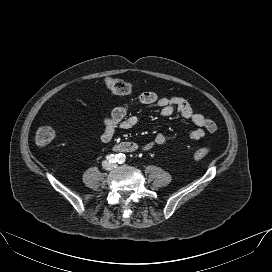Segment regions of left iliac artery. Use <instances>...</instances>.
<instances>
[{"mask_svg":"<svg viewBox=\"0 0 272 272\" xmlns=\"http://www.w3.org/2000/svg\"><path fill=\"white\" fill-rule=\"evenodd\" d=\"M125 155L124 154H120L119 157H118V163L119 164H123L125 162Z\"/></svg>","mask_w":272,"mask_h":272,"instance_id":"1","label":"left iliac artery"}]
</instances>
